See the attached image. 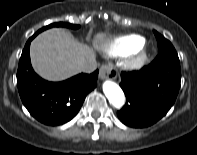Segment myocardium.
<instances>
[{"instance_id": "myocardium-1", "label": "myocardium", "mask_w": 197, "mask_h": 155, "mask_svg": "<svg viewBox=\"0 0 197 155\" xmlns=\"http://www.w3.org/2000/svg\"><path fill=\"white\" fill-rule=\"evenodd\" d=\"M147 60H148V54L141 47L136 51L135 56L131 62V65L134 67H141L147 62Z\"/></svg>"}]
</instances>
